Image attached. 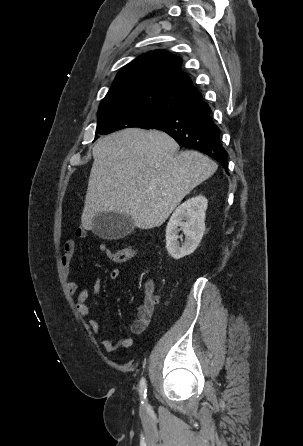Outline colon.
Masks as SVG:
<instances>
[{
  "label": "colon",
  "instance_id": "1",
  "mask_svg": "<svg viewBox=\"0 0 303 446\" xmlns=\"http://www.w3.org/2000/svg\"><path fill=\"white\" fill-rule=\"evenodd\" d=\"M109 260H111L114 263H123L131 258H133L136 253L137 249L134 246H128L116 251H111L107 247L102 251ZM152 302H157L158 297L153 296L151 299Z\"/></svg>",
  "mask_w": 303,
  "mask_h": 446
}]
</instances>
